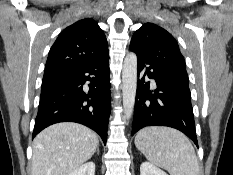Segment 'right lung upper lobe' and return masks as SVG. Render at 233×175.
<instances>
[{
  "label": "right lung upper lobe",
  "mask_w": 233,
  "mask_h": 175,
  "mask_svg": "<svg viewBox=\"0 0 233 175\" xmlns=\"http://www.w3.org/2000/svg\"><path fill=\"white\" fill-rule=\"evenodd\" d=\"M108 43L97 22L86 18L64 29L51 47L43 77L103 57Z\"/></svg>",
  "instance_id": "right-lung-upper-lobe-1"
}]
</instances>
